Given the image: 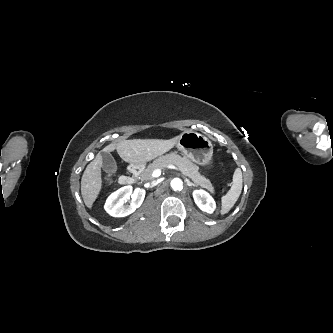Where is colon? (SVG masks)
<instances>
[{"mask_svg": "<svg viewBox=\"0 0 333 333\" xmlns=\"http://www.w3.org/2000/svg\"><path fill=\"white\" fill-rule=\"evenodd\" d=\"M112 177H113V173L108 174L105 178L106 182H110Z\"/></svg>", "mask_w": 333, "mask_h": 333, "instance_id": "colon-1", "label": "colon"}]
</instances>
